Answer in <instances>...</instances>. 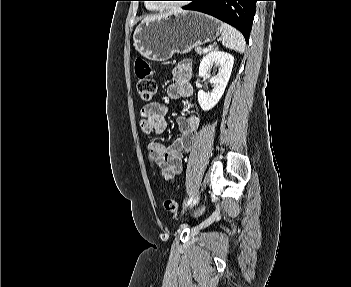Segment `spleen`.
<instances>
[{"label":"spleen","mask_w":351,"mask_h":287,"mask_svg":"<svg viewBox=\"0 0 351 287\" xmlns=\"http://www.w3.org/2000/svg\"><path fill=\"white\" fill-rule=\"evenodd\" d=\"M222 27V44L226 48L235 50L239 53L245 51V41L243 35L234 27L221 23Z\"/></svg>","instance_id":"obj_1"}]
</instances>
